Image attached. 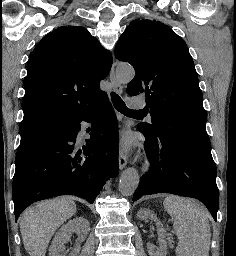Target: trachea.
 Here are the masks:
<instances>
[{
	"mask_svg": "<svg viewBox=\"0 0 236 256\" xmlns=\"http://www.w3.org/2000/svg\"><path fill=\"white\" fill-rule=\"evenodd\" d=\"M111 99L116 110L120 111V113H123L124 115H130L135 114L137 112H141V110H130L129 108H127L124 101L116 93H111Z\"/></svg>",
	"mask_w": 236,
	"mask_h": 256,
	"instance_id": "3493384b",
	"label": "trachea"
}]
</instances>
